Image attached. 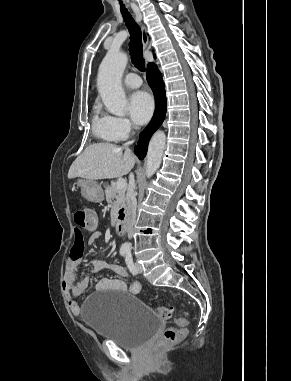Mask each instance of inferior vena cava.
Here are the masks:
<instances>
[{
  "instance_id": "1",
  "label": "inferior vena cava",
  "mask_w": 291,
  "mask_h": 381,
  "mask_svg": "<svg viewBox=\"0 0 291 381\" xmlns=\"http://www.w3.org/2000/svg\"><path fill=\"white\" fill-rule=\"evenodd\" d=\"M132 142H128L124 146L128 148V145ZM126 206H127V215H128L127 232H128V238L130 239L133 234V225L136 218V206H137V200H136V194H135V181H134L133 174H130V177H129V187H128L127 196H126Z\"/></svg>"
}]
</instances>
